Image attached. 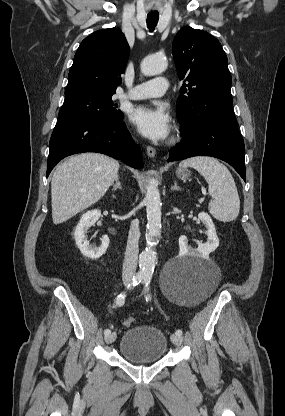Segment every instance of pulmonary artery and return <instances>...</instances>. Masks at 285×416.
<instances>
[{
	"label": "pulmonary artery",
	"mask_w": 285,
	"mask_h": 416,
	"mask_svg": "<svg viewBox=\"0 0 285 416\" xmlns=\"http://www.w3.org/2000/svg\"><path fill=\"white\" fill-rule=\"evenodd\" d=\"M167 89V79L164 77H155L146 82L137 84L129 93L125 94V98L142 99L147 97H157L164 94Z\"/></svg>",
	"instance_id": "e3ab8cb5"
}]
</instances>
